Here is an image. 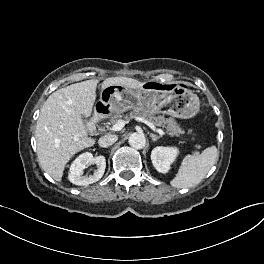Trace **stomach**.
Instances as JSON below:
<instances>
[{
  "label": "stomach",
  "instance_id": "0dacf381",
  "mask_svg": "<svg viewBox=\"0 0 264 264\" xmlns=\"http://www.w3.org/2000/svg\"><path fill=\"white\" fill-rule=\"evenodd\" d=\"M199 109V98L191 90L180 86L161 90L148 82L136 91L121 85L103 88L95 107V114L107 117L127 110H136L147 114L164 113L189 119L194 117Z\"/></svg>",
  "mask_w": 264,
  "mask_h": 264
}]
</instances>
